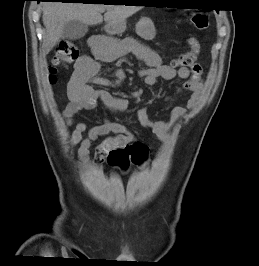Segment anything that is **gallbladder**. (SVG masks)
<instances>
[{
  "label": "gallbladder",
  "mask_w": 259,
  "mask_h": 266,
  "mask_svg": "<svg viewBox=\"0 0 259 266\" xmlns=\"http://www.w3.org/2000/svg\"><path fill=\"white\" fill-rule=\"evenodd\" d=\"M88 31V25L78 20H72L64 25L62 38L78 40L85 36Z\"/></svg>",
  "instance_id": "bac80fb5"
}]
</instances>
